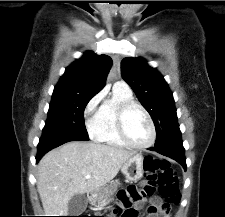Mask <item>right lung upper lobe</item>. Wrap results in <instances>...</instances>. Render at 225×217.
<instances>
[{
  "instance_id": "obj_1",
  "label": "right lung upper lobe",
  "mask_w": 225,
  "mask_h": 217,
  "mask_svg": "<svg viewBox=\"0 0 225 217\" xmlns=\"http://www.w3.org/2000/svg\"><path fill=\"white\" fill-rule=\"evenodd\" d=\"M111 65L109 56L87 51L66 68L53 94L94 96L104 87Z\"/></svg>"
}]
</instances>
